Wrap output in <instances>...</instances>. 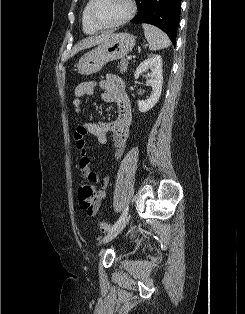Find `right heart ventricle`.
Segmentation results:
<instances>
[{
    "mask_svg": "<svg viewBox=\"0 0 245 314\" xmlns=\"http://www.w3.org/2000/svg\"><path fill=\"white\" fill-rule=\"evenodd\" d=\"M91 0H89L82 12V28L83 31L87 34H94L100 29L94 25L90 19L89 9H90Z\"/></svg>",
    "mask_w": 245,
    "mask_h": 314,
    "instance_id": "obj_1",
    "label": "right heart ventricle"
}]
</instances>
